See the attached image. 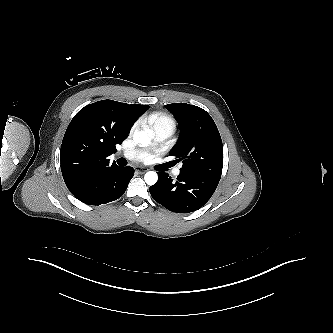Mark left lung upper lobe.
<instances>
[{"instance_id": "5c2ea615", "label": "left lung upper lobe", "mask_w": 333, "mask_h": 333, "mask_svg": "<svg viewBox=\"0 0 333 333\" xmlns=\"http://www.w3.org/2000/svg\"><path fill=\"white\" fill-rule=\"evenodd\" d=\"M179 122L180 136L169 152L176 163L182 162L180 173L220 180L223 168V145L211 116L202 108L175 103L165 106Z\"/></svg>"}]
</instances>
